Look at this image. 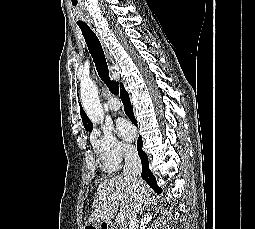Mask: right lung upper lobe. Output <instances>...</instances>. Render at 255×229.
<instances>
[{"mask_svg":"<svg viewBox=\"0 0 255 229\" xmlns=\"http://www.w3.org/2000/svg\"><path fill=\"white\" fill-rule=\"evenodd\" d=\"M122 86H123V84L121 83L120 87H122ZM80 114H81L83 125H84L86 131L90 132L93 129V124L90 122V120L88 119L86 113L84 112V110L82 108L80 109Z\"/></svg>","mask_w":255,"mask_h":229,"instance_id":"1","label":"right lung upper lobe"}]
</instances>
